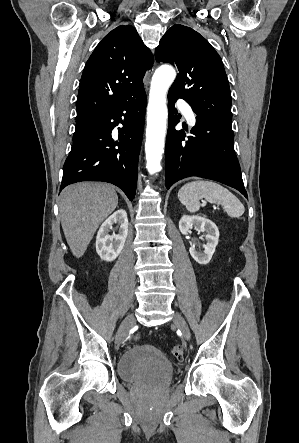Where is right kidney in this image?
Segmentation results:
<instances>
[{
	"mask_svg": "<svg viewBox=\"0 0 299 443\" xmlns=\"http://www.w3.org/2000/svg\"><path fill=\"white\" fill-rule=\"evenodd\" d=\"M120 225L119 233L109 235L113 224ZM128 235V218L123 209L114 212L101 225L96 237V251L100 258L105 261H113L121 253Z\"/></svg>",
	"mask_w": 299,
	"mask_h": 443,
	"instance_id": "ca27d5eb",
	"label": "right kidney"
}]
</instances>
